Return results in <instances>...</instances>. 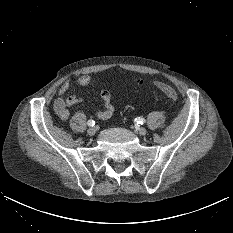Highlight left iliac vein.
Masks as SVG:
<instances>
[{"instance_id": "4c4485c4", "label": "left iliac vein", "mask_w": 233, "mask_h": 233, "mask_svg": "<svg viewBox=\"0 0 233 233\" xmlns=\"http://www.w3.org/2000/svg\"><path fill=\"white\" fill-rule=\"evenodd\" d=\"M135 132L138 133L139 135H145L147 133L146 129L143 127L135 128Z\"/></svg>"}]
</instances>
